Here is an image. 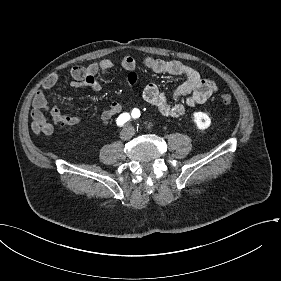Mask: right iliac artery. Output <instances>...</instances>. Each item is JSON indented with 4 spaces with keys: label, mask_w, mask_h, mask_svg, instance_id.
<instances>
[{
    "label": "right iliac artery",
    "mask_w": 281,
    "mask_h": 281,
    "mask_svg": "<svg viewBox=\"0 0 281 281\" xmlns=\"http://www.w3.org/2000/svg\"><path fill=\"white\" fill-rule=\"evenodd\" d=\"M130 119L129 113H122L118 116L116 123L119 126L124 125Z\"/></svg>",
    "instance_id": "obj_1"
}]
</instances>
